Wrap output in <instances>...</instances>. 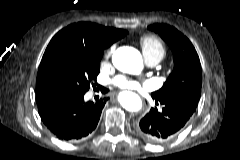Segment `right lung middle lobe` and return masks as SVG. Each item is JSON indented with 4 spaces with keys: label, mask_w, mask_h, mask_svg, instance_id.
<instances>
[{
    "label": "right lung middle lobe",
    "mask_w": 240,
    "mask_h": 160,
    "mask_svg": "<svg viewBox=\"0 0 240 160\" xmlns=\"http://www.w3.org/2000/svg\"><path fill=\"white\" fill-rule=\"evenodd\" d=\"M103 52L87 50L75 43L61 40L50 55L41 61L36 80V95H84L96 84Z\"/></svg>",
    "instance_id": "1"
}]
</instances>
